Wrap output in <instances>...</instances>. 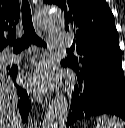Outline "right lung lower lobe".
Masks as SVG:
<instances>
[{
  "instance_id": "obj_1",
  "label": "right lung lower lobe",
  "mask_w": 125,
  "mask_h": 128,
  "mask_svg": "<svg viewBox=\"0 0 125 128\" xmlns=\"http://www.w3.org/2000/svg\"><path fill=\"white\" fill-rule=\"evenodd\" d=\"M6 71L11 76V78L14 81V84L16 85V74L18 73L17 66L8 67L6 69ZM16 88H17V93L20 98L18 101L20 115L22 117V120L25 122L27 120V116L31 109L29 97H28L27 91L25 89H22L18 85H16Z\"/></svg>"
}]
</instances>
